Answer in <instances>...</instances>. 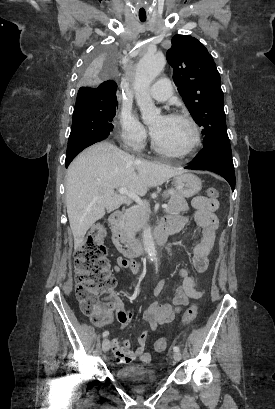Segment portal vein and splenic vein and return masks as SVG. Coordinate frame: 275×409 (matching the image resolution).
I'll use <instances>...</instances> for the list:
<instances>
[{
    "instance_id": "portal-vein-and-splenic-vein-1",
    "label": "portal vein and splenic vein",
    "mask_w": 275,
    "mask_h": 409,
    "mask_svg": "<svg viewBox=\"0 0 275 409\" xmlns=\"http://www.w3.org/2000/svg\"><path fill=\"white\" fill-rule=\"evenodd\" d=\"M118 192H120V194H127L130 198H133V200L137 202V205H143V200H141L140 196H138V194H133L128 188H119ZM162 207L163 209H168V205H162Z\"/></svg>"
}]
</instances>
